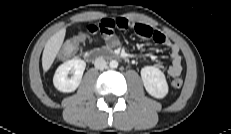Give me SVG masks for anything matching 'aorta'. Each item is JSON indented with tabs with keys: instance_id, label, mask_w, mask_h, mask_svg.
Wrapping results in <instances>:
<instances>
[{
	"instance_id": "aorta-1",
	"label": "aorta",
	"mask_w": 231,
	"mask_h": 134,
	"mask_svg": "<svg viewBox=\"0 0 231 134\" xmlns=\"http://www.w3.org/2000/svg\"><path fill=\"white\" fill-rule=\"evenodd\" d=\"M109 66L111 69H115L118 67V62L116 60H111Z\"/></svg>"
}]
</instances>
